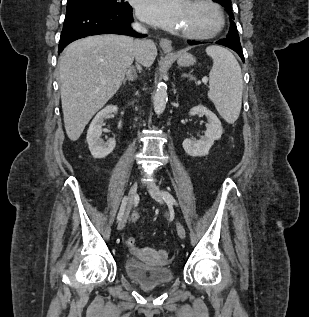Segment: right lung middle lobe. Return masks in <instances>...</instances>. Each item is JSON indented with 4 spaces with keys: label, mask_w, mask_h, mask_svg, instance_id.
I'll return each mask as SVG.
<instances>
[{
    "label": "right lung middle lobe",
    "mask_w": 309,
    "mask_h": 317,
    "mask_svg": "<svg viewBox=\"0 0 309 317\" xmlns=\"http://www.w3.org/2000/svg\"><path fill=\"white\" fill-rule=\"evenodd\" d=\"M67 5H86L119 11L131 10L132 7L124 0H67Z\"/></svg>",
    "instance_id": "obj_1"
}]
</instances>
